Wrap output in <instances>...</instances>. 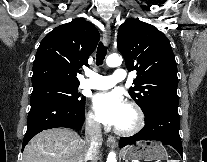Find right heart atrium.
<instances>
[{"label":"right heart atrium","mask_w":207,"mask_h":162,"mask_svg":"<svg viewBox=\"0 0 207 162\" xmlns=\"http://www.w3.org/2000/svg\"><path fill=\"white\" fill-rule=\"evenodd\" d=\"M86 121H87L88 125L93 128H98V126H99V122H98L95 114L92 111L88 112V114L86 116Z\"/></svg>","instance_id":"1"}]
</instances>
